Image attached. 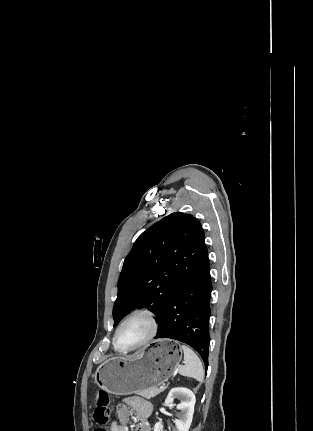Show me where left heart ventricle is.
<instances>
[{
  "label": "left heart ventricle",
  "instance_id": "obj_1",
  "mask_svg": "<svg viewBox=\"0 0 313 431\" xmlns=\"http://www.w3.org/2000/svg\"><path fill=\"white\" fill-rule=\"evenodd\" d=\"M150 332V324L143 317L127 322L118 333L117 344L120 348H130L143 341Z\"/></svg>",
  "mask_w": 313,
  "mask_h": 431
}]
</instances>
